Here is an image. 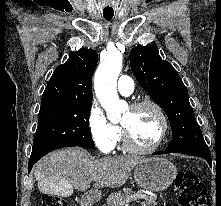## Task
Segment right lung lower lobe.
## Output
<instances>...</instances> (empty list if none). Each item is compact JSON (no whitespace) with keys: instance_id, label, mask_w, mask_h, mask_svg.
<instances>
[{"instance_id":"1","label":"right lung lower lobe","mask_w":221,"mask_h":206,"mask_svg":"<svg viewBox=\"0 0 221 206\" xmlns=\"http://www.w3.org/2000/svg\"><path fill=\"white\" fill-rule=\"evenodd\" d=\"M47 153H49V152H47ZM47 153H43V154L36 155V156H31L30 159H29V168H28V171L30 172L31 169H32V166H33L41 157H43V156L46 155Z\"/></svg>"}]
</instances>
